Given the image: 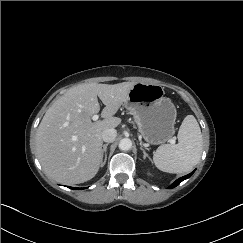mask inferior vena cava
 <instances>
[{
  "label": "inferior vena cava",
  "instance_id": "1",
  "mask_svg": "<svg viewBox=\"0 0 243 243\" xmlns=\"http://www.w3.org/2000/svg\"><path fill=\"white\" fill-rule=\"evenodd\" d=\"M116 136H117V131L113 128L106 129L102 133V139L104 142H107V143L114 142L116 139Z\"/></svg>",
  "mask_w": 243,
  "mask_h": 243
}]
</instances>
